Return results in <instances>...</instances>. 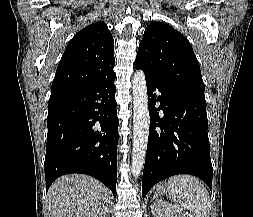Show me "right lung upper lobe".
<instances>
[{
    "label": "right lung upper lobe",
    "instance_id": "right-lung-upper-lobe-1",
    "mask_svg": "<svg viewBox=\"0 0 253 217\" xmlns=\"http://www.w3.org/2000/svg\"><path fill=\"white\" fill-rule=\"evenodd\" d=\"M114 40L107 25L95 22L69 42L52 83L51 96L81 89L113 71Z\"/></svg>",
    "mask_w": 253,
    "mask_h": 217
}]
</instances>
